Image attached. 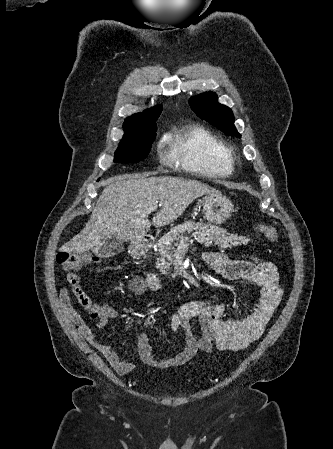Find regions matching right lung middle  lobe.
Masks as SVG:
<instances>
[{"label":"right lung middle lobe","mask_w":333,"mask_h":449,"mask_svg":"<svg viewBox=\"0 0 333 449\" xmlns=\"http://www.w3.org/2000/svg\"><path fill=\"white\" fill-rule=\"evenodd\" d=\"M157 117L149 119L141 132L142 137L132 140H121L118 149L115 152L114 162L117 163H136L147 157L156 135Z\"/></svg>","instance_id":"1"}]
</instances>
